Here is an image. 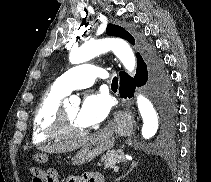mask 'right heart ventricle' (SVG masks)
Instances as JSON below:
<instances>
[{"mask_svg":"<svg viewBox=\"0 0 211 182\" xmlns=\"http://www.w3.org/2000/svg\"><path fill=\"white\" fill-rule=\"evenodd\" d=\"M66 95L63 91L52 86L41 97L35 109L32 122V141L35 145L58 138L51 132V126L56 111Z\"/></svg>","mask_w":211,"mask_h":182,"instance_id":"obj_1","label":"right heart ventricle"}]
</instances>
